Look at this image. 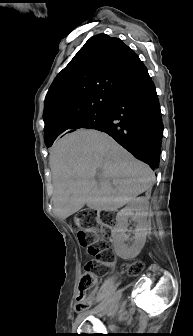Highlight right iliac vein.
<instances>
[{
    "mask_svg": "<svg viewBox=\"0 0 193 336\" xmlns=\"http://www.w3.org/2000/svg\"><path fill=\"white\" fill-rule=\"evenodd\" d=\"M121 292L118 294V298H120L121 296ZM117 309V304L113 306L111 312L114 313L115 310ZM92 313H96L95 310L92 311ZM87 313H83L78 315V317L76 318L75 322L73 323L72 329L75 331L77 329V327L79 326V324L82 322V320L84 319V317L86 316Z\"/></svg>",
    "mask_w": 193,
    "mask_h": 336,
    "instance_id": "1",
    "label": "right iliac vein"
}]
</instances>
